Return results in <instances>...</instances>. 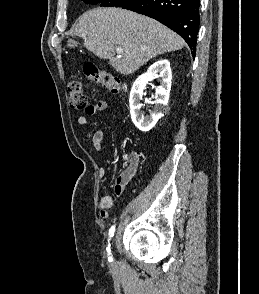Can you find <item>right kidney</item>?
Instances as JSON below:
<instances>
[{
  "label": "right kidney",
  "mask_w": 259,
  "mask_h": 294,
  "mask_svg": "<svg viewBox=\"0 0 259 294\" xmlns=\"http://www.w3.org/2000/svg\"><path fill=\"white\" fill-rule=\"evenodd\" d=\"M161 77V85L156 88L155 107L149 116H144L142 108L143 89L146 84L155 77ZM172 72L170 62L161 59L153 63L146 73L140 75L131 88L130 92V114L134 125L141 131L151 130L158 120L164 116L171 90Z\"/></svg>",
  "instance_id": "ca27d5eb"
}]
</instances>
